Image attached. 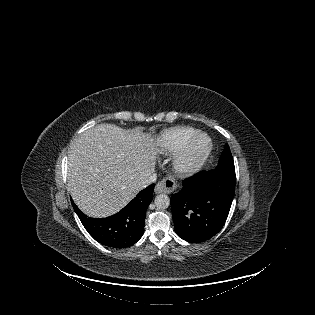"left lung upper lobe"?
Here are the masks:
<instances>
[{
	"label": "left lung upper lobe",
	"instance_id": "1",
	"mask_svg": "<svg viewBox=\"0 0 315 315\" xmlns=\"http://www.w3.org/2000/svg\"><path fill=\"white\" fill-rule=\"evenodd\" d=\"M218 168H230L235 169L232 154L230 152L228 144L225 145L224 150L220 156Z\"/></svg>",
	"mask_w": 315,
	"mask_h": 315
}]
</instances>
